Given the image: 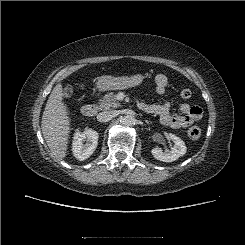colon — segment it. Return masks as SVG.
I'll list each match as a JSON object with an SVG mask.
<instances>
[{"label":"colon","mask_w":245,"mask_h":245,"mask_svg":"<svg viewBox=\"0 0 245 245\" xmlns=\"http://www.w3.org/2000/svg\"><path fill=\"white\" fill-rule=\"evenodd\" d=\"M63 93H64V96H65L66 98L71 97V95H72V93H73L72 87H71V86H66V87L64 88ZM191 94H192V93H191V90H190L189 88H182V89L180 90V96H181V98H183V99H188V98H190V97H191ZM200 136H201V130H200V128H198V127H192V128L189 129V131H188V137H189L190 139H192V140H197V139L200 138Z\"/></svg>","instance_id":"colon-1"}]
</instances>
